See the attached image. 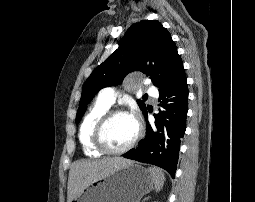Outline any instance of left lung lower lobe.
Masks as SVG:
<instances>
[{"mask_svg":"<svg viewBox=\"0 0 255 202\" xmlns=\"http://www.w3.org/2000/svg\"><path fill=\"white\" fill-rule=\"evenodd\" d=\"M160 113L155 114V124L150 125L147 110L145 138L123 156L165 169L174 178L180 150V139L186 130L188 111V86L185 71L166 89L159 91Z\"/></svg>","mask_w":255,"mask_h":202,"instance_id":"1","label":"left lung lower lobe"}]
</instances>
